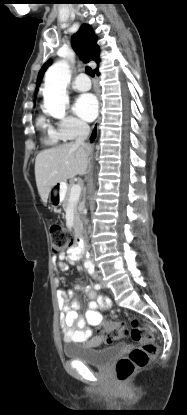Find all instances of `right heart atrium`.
I'll use <instances>...</instances> for the list:
<instances>
[{
	"label": "right heart atrium",
	"mask_w": 187,
	"mask_h": 415,
	"mask_svg": "<svg viewBox=\"0 0 187 415\" xmlns=\"http://www.w3.org/2000/svg\"><path fill=\"white\" fill-rule=\"evenodd\" d=\"M58 130L60 131L64 140H73L88 130L87 125L81 120L67 116L58 123Z\"/></svg>",
	"instance_id": "d8ad5b80"
}]
</instances>
